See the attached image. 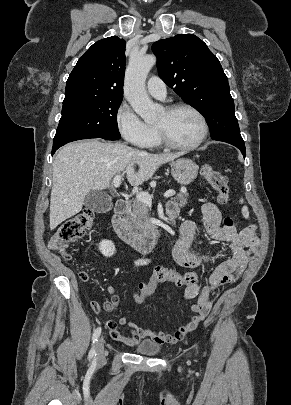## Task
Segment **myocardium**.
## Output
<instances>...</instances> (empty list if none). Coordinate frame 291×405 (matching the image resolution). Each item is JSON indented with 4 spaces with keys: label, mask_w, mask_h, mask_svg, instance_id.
Segmentation results:
<instances>
[{
    "label": "myocardium",
    "mask_w": 291,
    "mask_h": 405,
    "mask_svg": "<svg viewBox=\"0 0 291 405\" xmlns=\"http://www.w3.org/2000/svg\"><path fill=\"white\" fill-rule=\"evenodd\" d=\"M181 109H186V110L193 112L199 118V120L201 122V127H202L201 134L195 142L188 144V145L177 144V143L173 142L172 140H170V138L167 136L166 132L160 127H156V133H157L160 143L167 148H170L173 150H179V151L194 150V149L198 148L206 140V138L209 134V124H208V121H207L205 115L198 108H196L195 106L188 104V103H176V104L169 105L165 108V111L167 113H173V112H176Z\"/></svg>",
    "instance_id": "1"
}]
</instances>
